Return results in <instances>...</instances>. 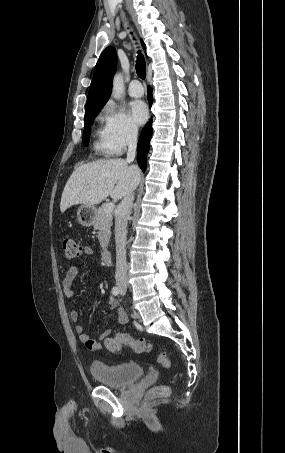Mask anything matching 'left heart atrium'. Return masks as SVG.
Segmentation results:
<instances>
[{
    "mask_svg": "<svg viewBox=\"0 0 285 453\" xmlns=\"http://www.w3.org/2000/svg\"><path fill=\"white\" fill-rule=\"evenodd\" d=\"M129 113L132 121L137 125H142L148 118V108L141 100L130 103Z\"/></svg>",
    "mask_w": 285,
    "mask_h": 453,
    "instance_id": "left-heart-atrium-1",
    "label": "left heart atrium"
}]
</instances>
